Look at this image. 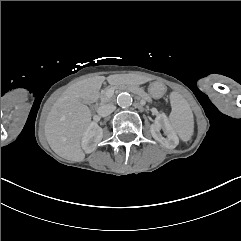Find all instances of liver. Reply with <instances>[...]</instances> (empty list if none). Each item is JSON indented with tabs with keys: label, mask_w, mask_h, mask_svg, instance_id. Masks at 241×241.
Instances as JSON below:
<instances>
[{
	"label": "liver",
	"mask_w": 241,
	"mask_h": 241,
	"mask_svg": "<svg viewBox=\"0 0 241 241\" xmlns=\"http://www.w3.org/2000/svg\"><path fill=\"white\" fill-rule=\"evenodd\" d=\"M105 80L110 85L119 82L116 74L85 78L70 85L53 104L45 122V136L60 157L76 162L85 159L81 141L92 120L86 103L98 98Z\"/></svg>",
	"instance_id": "liver-1"
}]
</instances>
